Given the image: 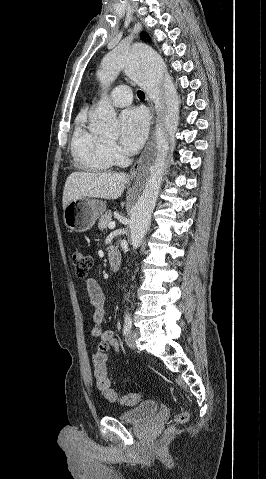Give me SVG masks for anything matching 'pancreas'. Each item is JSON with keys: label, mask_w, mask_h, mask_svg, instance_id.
Returning a JSON list of instances; mask_svg holds the SVG:
<instances>
[{"label": "pancreas", "mask_w": 266, "mask_h": 479, "mask_svg": "<svg viewBox=\"0 0 266 479\" xmlns=\"http://www.w3.org/2000/svg\"><path fill=\"white\" fill-rule=\"evenodd\" d=\"M112 221V214L110 211H107L105 214L101 215L98 223L100 230H104L108 227V224Z\"/></svg>", "instance_id": "obj_1"}]
</instances>
